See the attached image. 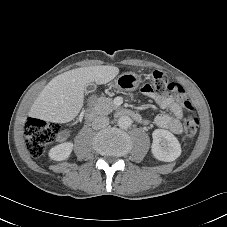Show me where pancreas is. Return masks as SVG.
<instances>
[{"label": "pancreas", "instance_id": "cf45deb5", "mask_svg": "<svg viewBox=\"0 0 227 227\" xmlns=\"http://www.w3.org/2000/svg\"><path fill=\"white\" fill-rule=\"evenodd\" d=\"M116 108L117 107L111 98H106L103 96L98 98L94 105L95 112L100 115H108Z\"/></svg>", "mask_w": 227, "mask_h": 227}]
</instances>
